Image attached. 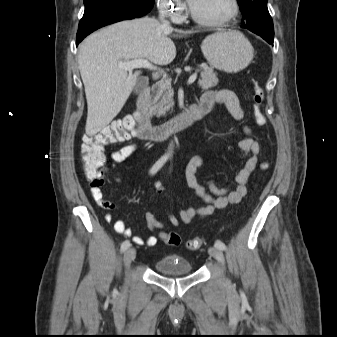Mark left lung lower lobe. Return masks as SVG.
I'll return each instance as SVG.
<instances>
[{"label":"left lung lower lobe","mask_w":337,"mask_h":337,"mask_svg":"<svg viewBox=\"0 0 337 337\" xmlns=\"http://www.w3.org/2000/svg\"><path fill=\"white\" fill-rule=\"evenodd\" d=\"M242 28H246L257 35L261 36L264 40H266L269 44H273L274 38V29H268L261 26H250V25H241Z\"/></svg>","instance_id":"obj_1"}]
</instances>
